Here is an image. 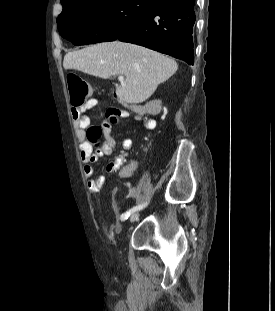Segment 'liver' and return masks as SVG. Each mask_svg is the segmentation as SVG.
<instances>
[{"label": "liver", "mask_w": 275, "mask_h": 311, "mask_svg": "<svg viewBox=\"0 0 275 311\" xmlns=\"http://www.w3.org/2000/svg\"><path fill=\"white\" fill-rule=\"evenodd\" d=\"M63 67L103 79L123 75L125 80L116 88L119 101L138 104L169 79L178 65L174 59L145 47L113 41L67 53Z\"/></svg>", "instance_id": "obj_1"}]
</instances>
